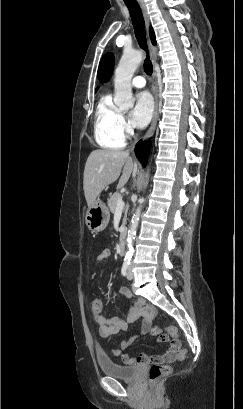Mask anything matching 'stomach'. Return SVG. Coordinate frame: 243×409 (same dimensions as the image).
<instances>
[{
	"label": "stomach",
	"mask_w": 243,
	"mask_h": 409,
	"mask_svg": "<svg viewBox=\"0 0 243 409\" xmlns=\"http://www.w3.org/2000/svg\"><path fill=\"white\" fill-rule=\"evenodd\" d=\"M110 213L106 205L97 199L88 207L85 222L90 231L98 233L103 231L109 223Z\"/></svg>",
	"instance_id": "stomach-1"
}]
</instances>
